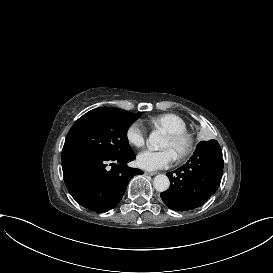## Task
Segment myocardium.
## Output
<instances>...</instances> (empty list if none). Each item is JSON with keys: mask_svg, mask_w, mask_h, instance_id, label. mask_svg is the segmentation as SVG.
I'll return each instance as SVG.
<instances>
[{"mask_svg": "<svg viewBox=\"0 0 273 273\" xmlns=\"http://www.w3.org/2000/svg\"><path fill=\"white\" fill-rule=\"evenodd\" d=\"M166 136L171 140L179 141L182 143L181 148L179 149L177 154H175L178 160L184 159L186 156H188L192 152L194 148V138L192 137V135H190L186 131L167 132Z\"/></svg>", "mask_w": 273, "mask_h": 273, "instance_id": "f54148a6", "label": "myocardium"}]
</instances>
